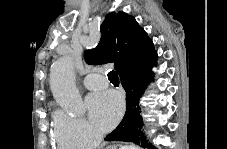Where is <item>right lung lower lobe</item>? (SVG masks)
Returning <instances> with one entry per match:
<instances>
[{
  "instance_id": "98d812e1",
  "label": "right lung lower lobe",
  "mask_w": 227,
  "mask_h": 149,
  "mask_svg": "<svg viewBox=\"0 0 227 149\" xmlns=\"http://www.w3.org/2000/svg\"><path fill=\"white\" fill-rule=\"evenodd\" d=\"M156 60L157 57L146 64L132 67L120 75L122 86L126 91V113L118 127L105 138L106 141L133 142L142 147L154 148L148 144L141 131L144 124L140 116L139 100L147 83L153 80L151 68L156 66Z\"/></svg>"
}]
</instances>
